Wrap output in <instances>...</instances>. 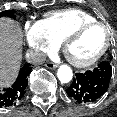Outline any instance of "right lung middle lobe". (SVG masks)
Returning <instances> with one entry per match:
<instances>
[{
	"mask_svg": "<svg viewBox=\"0 0 117 117\" xmlns=\"http://www.w3.org/2000/svg\"><path fill=\"white\" fill-rule=\"evenodd\" d=\"M2 16H8V17L15 19L14 10L3 11V12L0 13V17H2Z\"/></svg>",
	"mask_w": 117,
	"mask_h": 117,
	"instance_id": "1",
	"label": "right lung middle lobe"
}]
</instances>
